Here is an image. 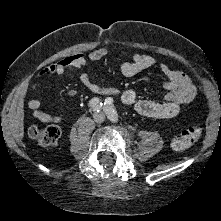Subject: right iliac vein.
Listing matches in <instances>:
<instances>
[{"instance_id": "right-iliac-vein-1", "label": "right iliac vein", "mask_w": 221, "mask_h": 221, "mask_svg": "<svg viewBox=\"0 0 221 221\" xmlns=\"http://www.w3.org/2000/svg\"><path fill=\"white\" fill-rule=\"evenodd\" d=\"M100 118H101V115H97V116H95L94 119H95L96 122H99V121H100Z\"/></svg>"}]
</instances>
